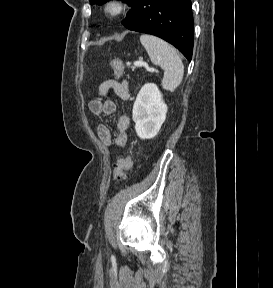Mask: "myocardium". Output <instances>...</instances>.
Wrapping results in <instances>:
<instances>
[{
  "instance_id": "myocardium-1",
  "label": "myocardium",
  "mask_w": 273,
  "mask_h": 288,
  "mask_svg": "<svg viewBox=\"0 0 273 288\" xmlns=\"http://www.w3.org/2000/svg\"><path fill=\"white\" fill-rule=\"evenodd\" d=\"M129 10L127 0H108L103 5V13L108 18H119Z\"/></svg>"
}]
</instances>
